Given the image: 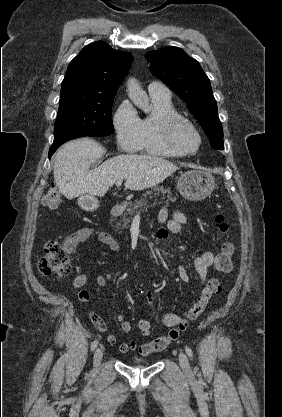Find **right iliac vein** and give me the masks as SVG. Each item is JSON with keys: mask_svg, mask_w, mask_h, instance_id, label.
I'll use <instances>...</instances> for the list:
<instances>
[{"mask_svg": "<svg viewBox=\"0 0 282 417\" xmlns=\"http://www.w3.org/2000/svg\"><path fill=\"white\" fill-rule=\"evenodd\" d=\"M102 357H103L102 349L97 348L96 351L94 352V356H93L94 367H97L100 364V362L102 360Z\"/></svg>", "mask_w": 282, "mask_h": 417, "instance_id": "63e3f726", "label": "right iliac vein"}]
</instances>
